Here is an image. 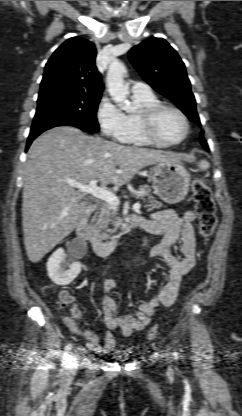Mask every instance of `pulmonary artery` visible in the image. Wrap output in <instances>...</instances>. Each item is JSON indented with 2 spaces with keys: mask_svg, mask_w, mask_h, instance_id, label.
I'll return each instance as SVG.
<instances>
[{
  "mask_svg": "<svg viewBox=\"0 0 242 416\" xmlns=\"http://www.w3.org/2000/svg\"><path fill=\"white\" fill-rule=\"evenodd\" d=\"M131 92L133 94H148L151 92V88L149 85L143 82H132Z\"/></svg>",
  "mask_w": 242,
  "mask_h": 416,
  "instance_id": "obj_1",
  "label": "pulmonary artery"
}]
</instances>
